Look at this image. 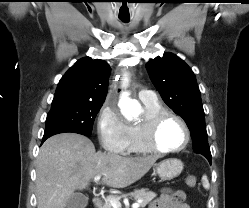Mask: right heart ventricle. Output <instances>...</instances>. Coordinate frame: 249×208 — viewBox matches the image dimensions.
Returning <instances> with one entry per match:
<instances>
[{"instance_id": "obj_1", "label": "right heart ventricle", "mask_w": 249, "mask_h": 208, "mask_svg": "<svg viewBox=\"0 0 249 208\" xmlns=\"http://www.w3.org/2000/svg\"><path fill=\"white\" fill-rule=\"evenodd\" d=\"M144 120L139 123L129 124L127 125V144H126V153H133V154H141L146 153L140 144V131L143 122L162 112L165 109L162 107L161 104L158 102L156 104H144Z\"/></svg>"}]
</instances>
